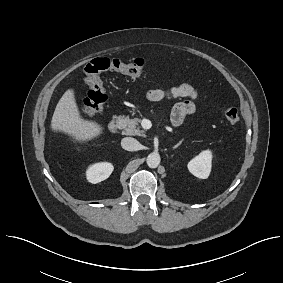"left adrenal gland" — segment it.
I'll return each instance as SVG.
<instances>
[{
	"mask_svg": "<svg viewBox=\"0 0 283 283\" xmlns=\"http://www.w3.org/2000/svg\"><path fill=\"white\" fill-rule=\"evenodd\" d=\"M181 144H182V141H180L178 144H176V145L173 147V149L178 148Z\"/></svg>",
	"mask_w": 283,
	"mask_h": 283,
	"instance_id": "obj_1",
	"label": "left adrenal gland"
}]
</instances>
